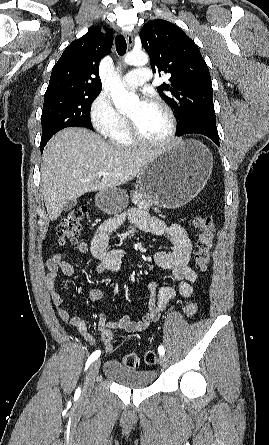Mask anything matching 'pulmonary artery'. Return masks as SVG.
Masks as SVG:
<instances>
[{
    "label": "pulmonary artery",
    "instance_id": "e3ab8cb5",
    "mask_svg": "<svg viewBox=\"0 0 269 445\" xmlns=\"http://www.w3.org/2000/svg\"><path fill=\"white\" fill-rule=\"evenodd\" d=\"M152 78L150 69L146 67H139L129 71L124 75L122 82L128 88L138 87Z\"/></svg>",
    "mask_w": 269,
    "mask_h": 445
}]
</instances>
